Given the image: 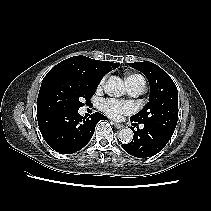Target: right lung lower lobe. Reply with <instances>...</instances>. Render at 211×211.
Wrapping results in <instances>:
<instances>
[{
    "label": "right lung lower lobe",
    "instance_id": "obj_1",
    "mask_svg": "<svg viewBox=\"0 0 211 211\" xmlns=\"http://www.w3.org/2000/svg\"><path fill=\"white\" fill-rule=\"evenodd\" d=\"M106 119L99 112L87 119L78 110L56 109L37 113L40 132L55 151L72 154L82 149L94 134L95 125Z\"/></svg>",
    "mask_w": 211,
    "mask_h": 211
}]
</instances>
